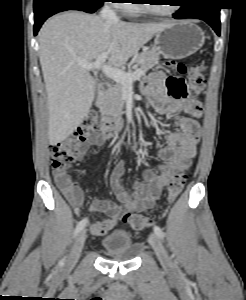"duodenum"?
<instances>
[{"instance_id":"410a0bca","label":"duodenum","mask_w":246,"mask_h":300,"mask_svg":"<svg viewBox=\"0 0 246 300\" xmlns=\"http://www.w3.org/2000/svg\"><path fill=\"white\" fill-rule=\"evenodd\" d=\"M108 89V84L103 83L101 85V93H105ZM124 125V118L122 116H107L102 121V131L103 132H111V131H119Z\"/></svg>"}]
</instances>
